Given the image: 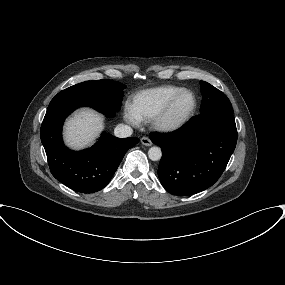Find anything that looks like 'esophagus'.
<instances>
[{"instance_id": "obj_1", "label": "esophagus", "mask_w": 285, "mask_h": 285, "mask_svg": "<svg viewBox=\"0 0 285 285\" xmlns=\"http://www.w3.org/2000/svg\"><path fill=\"white\" fill-rule=\"evenodd\" d=\"M141 143L145 146H151L152 145V141L148 137H142Z\"/></svg>"}]
</instances>
